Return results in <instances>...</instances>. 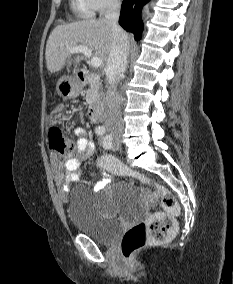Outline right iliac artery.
Instances as JSON below:
<instances>
[{
	"instance_id": "obj_1",
	"label": "right iliac artery",
	"mask_w": 233,
	"mask_h": 284,
	"mask_svg": "<svg viewBox=\"0 0 233 284\" xmlns=\"http://www.w3.org/2000/svg\"><path fill=\"white\" fill-rule=\"evenodd\" d=\"M95 132L97 135H103L105 133V128L103 126H98Z\"/></svg>"
}]
</instances>
